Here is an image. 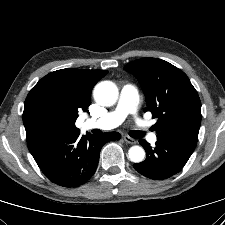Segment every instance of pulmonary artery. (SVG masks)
Listing matches in <instances>:
<instances>
[{
    "instance_id": "1",
    "label": "pulmonary artery",
    "mask_w": 225,
    "mask_h": 225,
    "mask_svg": "<svg viewBox=\"0 0 225 225\" xmlns=\"http://www.w3.org/2000/svg\"><path fill=\"white\" fill-rule=\"evenodd\" d=\"M138 100V92L133 85L127 84L123 86L116 107L99 119H88L85 122V127L87 129L99 128L106 130L119 126L128 115L136 114ZM136 121L142 127V132L148 134L150 142L155 143L157 137L155 134L151 133L149 124L140 118H136Z\"/></svg>"
}]
</instances>
